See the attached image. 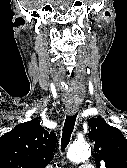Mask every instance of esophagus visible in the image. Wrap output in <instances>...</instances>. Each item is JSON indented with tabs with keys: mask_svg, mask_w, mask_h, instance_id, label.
<instances>
[{
	"mask_svg": "<svg viewBox=\"0 0 127 168\" xmlns=\"http://www.w3.org/2000/svg\"><path fill=\"white\" fill-rule=\"evenodd\" d=\"M76 111H77V108L74 107V106L73 107H67L66 110H65V112L69 115L74 114Z\"/></svg>",
	"mask_w": 127,
	"mask_h": 168,
	"instance_id": "esophagus-1",
	"label": "esophagus"
}]
</instances>
